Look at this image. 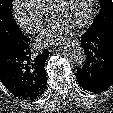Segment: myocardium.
<instances>
[{"instance_id":"myocardium-1","label":"myocardium","mask_w":113,"mask_h":113,"mask_svg":"<svg viewBox=\"0 0 113 113\" xmlns=\"http://www.w3.org/2000/svg\"><path fill=\"white\" fill-rule=\"evenodd\" d=\"M61 1L62 0H52L51 1L50 6L48 8V13H47V15L50 19H52V16ZM94 5H95V0H89L87 13H86L85 17L83 18V20L81 22L76 24L73 27V29H75V30L83 29L91 23L93 16H94Z\"/></svg>"}]
</instances>
